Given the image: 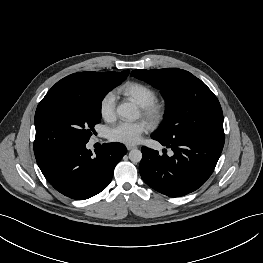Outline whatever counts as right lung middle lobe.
<instances>
[{
    "instance_id": "1",
    "label": "right lung middle lobe",
    "mask_w": 263,
    "mask_h": 263,
    "mask_svg": "<svg viewBox=\"0 0 263 263\" xmlns=\"http://www.w3.org/2000/svg\"><path fill=\"white\" fill-rule=\"evenodd\" d=\"M127 75L95 78L83 86L46 94L35 113L36 159L65 146L88 142L101 120V102Z\"/></svg>"
}]
</instances>
